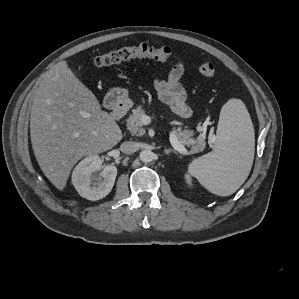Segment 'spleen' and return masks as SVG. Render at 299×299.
Listing matches in <instances>:
<instances>
[{
	"mask_svg": "<svg viewBox=\"0 0 299 299\" xmlns=\"http://www.w3.org/2000/svg\"><path fill=\"white\" fill-rule=\"evenodd\" d=\"M255 133L245 104L229 99L221 108L211 153L193 160L188 172L211 193L229 196L247 179L254 159Z\"/></svg>",
	"mask_w": 299,
	"mask_h": 299,
	"instance_id": "1",
	"label": "spleen"
}]
</instances>
